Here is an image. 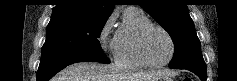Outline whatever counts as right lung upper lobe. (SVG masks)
I'll list each match as a JSON object with an SVG mask.
<instances>
[{
    "mask_svg": "<svg viewBox=\"0 0 237 81\" xmlns=\"http://www.w3.org/2000/svg\"><path fill=\"white\" fill-rule=\"evenodd\" d=\"M115 4L116 0H58L51 19L69 16L108 19Z\"/></svg>",
    "mask_w": 237,
    "mask_h": 81,
    "instance_id": "cb5924a9",
    "label": "right lung upper lobe"
}]
</instances>
